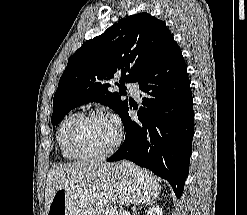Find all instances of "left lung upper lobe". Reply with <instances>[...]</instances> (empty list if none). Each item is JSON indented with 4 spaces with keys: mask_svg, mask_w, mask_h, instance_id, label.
I'll return each mask as SVG.
<instances>
[{
    "mask_svg": "<svg viewBox=\"0 0 247 215\" xmlns=\"http://www.w3.org/2000/svg\"><path fill=\"white\" fill-rule=\"evenodd\" d=\"M173 35L165 23L148 13L131 15L85 42L68 60L53 99L52 124L73 108L98 102L120 117L128 109L121 100L126 82L138 79L158 60ZM114 76H121L120 93L109 91Z\"/></svg>",
    "mask_w": 247,
    "mask_h": 215,
    "instance_id": "1",
    "label": "left lung upper lobe"
}]
</instances>
